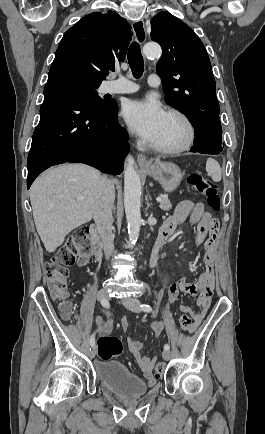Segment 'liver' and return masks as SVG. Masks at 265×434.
Instances as JSON below:
<instances>
[{
    "instance_id": "6515ba94",
    "label": "liver",
    "mask_w": 265,
    "mask_h": 434,
    "mask_svg": "<svg viewBox=\"0 0 265 434\" xmlns=\"http://www.w3.org/2000/svg\"><path fill=\"white\" fill-rule=\"evenodd\" d=\"M100 178L94 168L65 164L47 170L32 184L33 218L47 252H55L69 232L92 220Z\"/></svg>"
}]
</instances>
